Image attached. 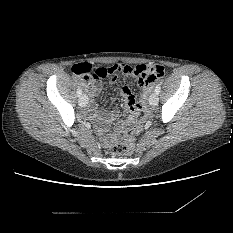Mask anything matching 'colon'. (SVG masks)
I'll use <instances>...</instances> for the list:
<instances>
[{"label":"colon","mask_w":233,"mask_h":233,"mask_svg":"<svg viewBox=\"0 0 233 233\" xmlns=\"http://www.w3.org/2000/svg\"><path fill=\"white\" fill-rule=\"evenodd\" d=\"M71 71L81 78L83 85H86L91 79L100 80L115 73H122L127 76L137 78L142 82H152L164 75V67L159 64L137 65L118 63L110 67H99L92 70V66L87 62L75 64L71 67ZM146 105L144 98L142 104L134 105L131 110L136 114L141 113L145 109ZM134 147V139L132 137H126L120 139L112 144L109 149V153L112 156H125L132 153Z\"/></svg>","instance_id":"colon-1"}]
</instances>
